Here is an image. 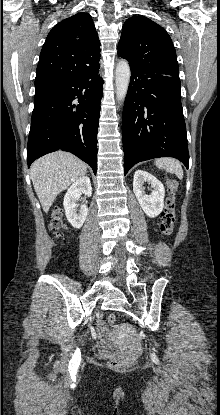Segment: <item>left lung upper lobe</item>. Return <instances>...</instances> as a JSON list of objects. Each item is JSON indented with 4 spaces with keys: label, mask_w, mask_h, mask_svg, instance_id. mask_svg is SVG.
<instances>
[{
    "label": "left lung upper lobe",
    "mask_w": 220,
    "mask_h": 415,
    "mask_svg": "<svg viewBox=\"0 0 220 415\" xmlns=\"http://www.w3.org/2000/svg\"><path fill=\"white\" fill-rule=\"evenodd\" d=\"M118 55L130 67L151 69L160 74L179 76L176 51L168 33L142 15H134L123 25Z\"/></svg>",
    "instance_id": "left-lung-upper-lobe-1"
}]
</instances>
